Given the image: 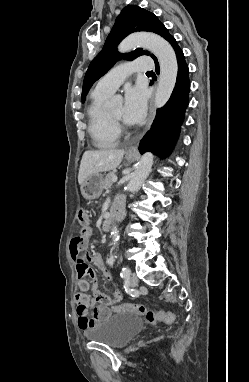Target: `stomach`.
<instances>
[{
  "instance_id": "stomach-1",
  "label": "stomach",
  "mask_w": 249,
  "mask_h": 382,
  "mask_svg": "<svg viewBox=\"0 0 249 382\" xmlns=\"http://www.w3.org/2000/svg\"><path fill=\"white\" fill-rule=\"evenodd\" d=\"M128 161H133L134 156L127 155ZM103 175L100 173L91 174L81 186V194L86 200H93L98 198L103 191Z\"/></svg>"
}]
</instances>
